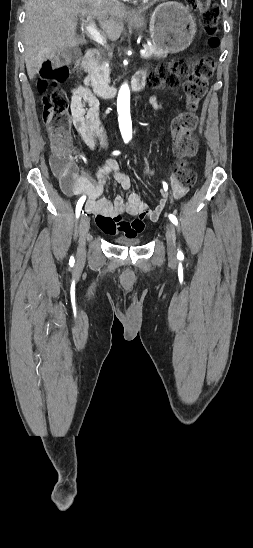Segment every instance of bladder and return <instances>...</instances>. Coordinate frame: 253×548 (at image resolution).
Segmentation results:
<instances>
[{
    "label": "bladder",
    "mask_w": 253,
    "mask_h": 548,
    "mask_svg": "<svg viewBox=\"0 0 253 548\" xmlns=\"http://www.w3.org/2000/svg\"><path fill=\"white\" fill-rule=\"evenodd\" d=\"M115 242L125 246H138L142 243V239L138 236H118L115 238Z\"/></svg>",
    "instance_id": "1"
}]
</instances>
